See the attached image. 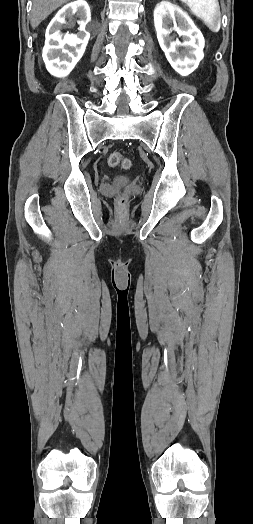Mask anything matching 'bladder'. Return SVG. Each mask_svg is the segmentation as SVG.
I'll use <instances>...</instances> for the list:
<instances>
[{
	"label": "bladder",
	"instance_id": "1",
	"mask_svg": "<svg viewBox=\"0 0 253 524\" xmlns=\"http://www.w3.org/2000/svg\"><path fill=\"white\" fill-rule=\"evenodd\" d=\"M118 183L124 185L128 183V180L126 178H121L118 180Z\"/></svg>",
	"mask_w": 253,
	"mask_h": 524
}]
</instances>
